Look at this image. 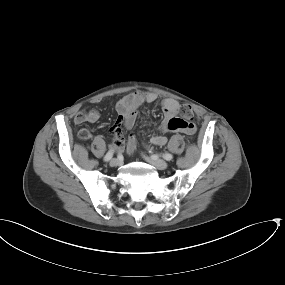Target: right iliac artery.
Segmentation results:
<instances>
[{
	"mask_svg": "<svg viewBox=\"0 0 285 285\" xmlns=\"http://www.w3.org/2000/svg\"><path fill=\"white\" fill-rule=\"evenodd\" d=\"M113 157V151L110 150L104 157V161H109Z\"/></svg>",
	"mask_w": 285,
	"mask_h": 285,
	"instance_id": "82829eb1",
	"label": "right iliac artery"
}]
</instances>
